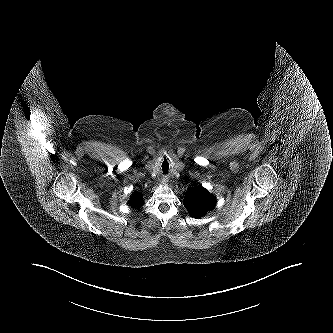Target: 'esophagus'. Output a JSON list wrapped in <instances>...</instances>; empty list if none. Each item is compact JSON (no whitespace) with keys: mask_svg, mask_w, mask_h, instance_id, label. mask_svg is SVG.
Masks as SVG:
<instances>
[{"mask_svg":"<svg viewBox=\"0 0 333 333\" xmlns=\"http://www.w3.org/2000/svg\"><path fill=\"white\" fill-rule=\"evenodd\" d=\"M166 182H168V180L166 178H163L162 183L165 184Z\"/></svg>","mask_w":333,"mask_h":333,"instance_id":"esophagus-1","label":"esophagus"}]
</instances>
